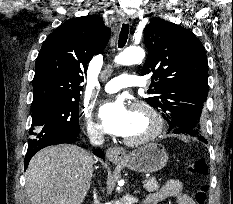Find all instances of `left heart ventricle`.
<instances>
[{"label":"left heart ventricle","mask_w":233,"mask_h":204,"mask_svg":"<svg viewBox=\"0 0 233 204\" xmlns=\"http://www.w3.org/2000/svg\"><path fill=\"white\" fill-rule=\"evenodd\" d=\"M152 128L151 119L143 111H131L129 127L124 135L126 138H138L148 133Z\"/></svg>","instance_id":"b2bd125f"}]
</instances>
